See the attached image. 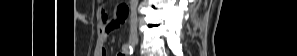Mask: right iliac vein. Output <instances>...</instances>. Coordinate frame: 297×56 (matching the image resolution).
I'll return each instance as SVG.
<instances>
[{"label": "right iliac vein", "mask_w": 297, "mask_h": 56, "mask_svg": "<svg viewBox=\"0 0 297 56\" xmlns=\"http://www.w3.org/2000/svg\"><path fill=\"white\" fill-rule=\"evenodd\" d=\"M129 42L131 45L135 46L138 44V38L136 36H131Z\"/></svg>", "instance_id": "obj_1"}]
</instances>
